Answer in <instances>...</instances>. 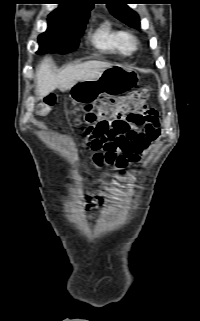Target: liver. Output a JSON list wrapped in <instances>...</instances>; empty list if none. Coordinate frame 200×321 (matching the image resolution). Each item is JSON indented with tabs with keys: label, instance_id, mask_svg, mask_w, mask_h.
<instances>
[{
	"label": "liver",
	"instance_id": "obj_1",
	"mask_svg": "<svg viewBox=\"0 0 200 321\" xmlns=\"http://www.w3.org/2000/svg\"><path fill=\"white\" fill-rule=\"evenodd\" d=\"M111 66L108 62L87 61L79 65H69L57 72L52 60L45 58L36 70V93L41 99L55 89L65 92L79 81L97 78Z\"/></svg>",
	"mask_w": 200,
	"mask_h": 321
}]
</instances>
